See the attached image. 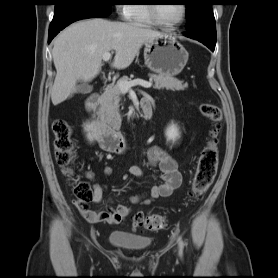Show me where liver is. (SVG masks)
Here are the masks:
<instances>
[{"label":"liver","mask_w":278,"mask_h":278,"mask_svg":"<svg viewBox=\"0 0 278 278\" xmlns=\"http://www.w3.org/2000/svg\"><path fill=\"white\" fill-rule=\"evenodd\" d=\"M164 34L129 23L102 18L72 24L54 40L52 57L57 71L51 90L53 105H58L77 90V81L94 79L102 66V56L115 51L112 67L127 68L142 45Z\"/></svg>","instance_id":"obj_1"}]
</instances>
